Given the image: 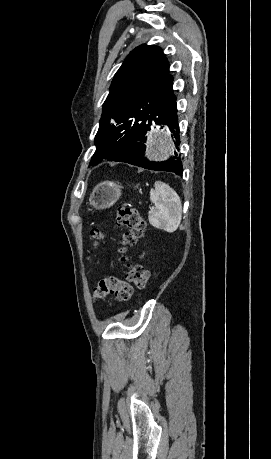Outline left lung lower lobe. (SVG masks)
<instances>
[{"label": "left lung lower lobe", "mask_w": 271, "mask_h": 459, "mask_svg": "<svg viewBox=\"0 0 271 459\" xmlns=\"http://www.w3.org/2000/svg\"><path fill=\"white\" fill-rule=\"evenodd\" d=\"M173 77L169 75L163 85L154 92L151 108L141 117L129 120L111 136V148L103 161L126 162L138 167L155 171H169L177 175L183 172L182 162L177 152L164 162H150L144 157L146 133L154 124L167 125L175 138L179 151V125L176 108V97L172 90Z\"/></svg>", "instance_id": "0a47b994"}]
</instances>
